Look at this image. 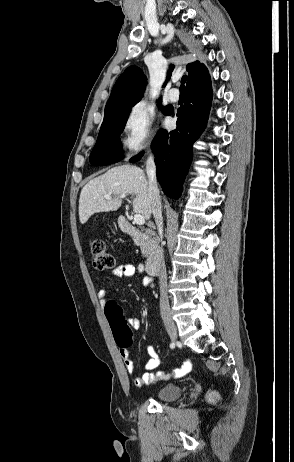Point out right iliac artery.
I'll return each mask as SVG.
<instances>
[{"label": "right iliac artery", "instance_id": "obj_1", "mask_svg": "<svg viewBox=\"0 0 294 462\" xmlns=\"http://www.w3.org/2000/svg\"><path fill=\"white\" fill-rule=\"evenodd\" d=\"M174 347H175V343L172 342V343L170 344V348H174Z\"/></svg>", "mask_w": 294, "mask_h": 462}]
</instances>
